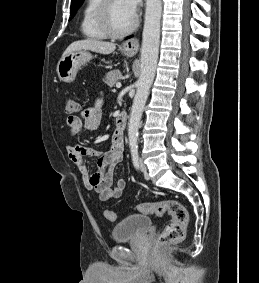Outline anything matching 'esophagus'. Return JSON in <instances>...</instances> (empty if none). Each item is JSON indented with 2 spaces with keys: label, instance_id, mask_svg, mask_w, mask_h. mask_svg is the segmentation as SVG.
<instances>
[{
  "label": "esophagus",
  "instance_id": "1",
  "mask_svg": "<svg viewBox=\"0 0 259 283\" xmlns=\"http://www.w3.org/2000/svg\"><path fill=\"white\" fill-rule=\"evenodd\" d=\"M122 49L126 53L136 54L139 50V41L137 37L130 38L122 44Z\"/></svg>",
  "mask_w": 259,
  "mask_h": 283
}]
</instances>
